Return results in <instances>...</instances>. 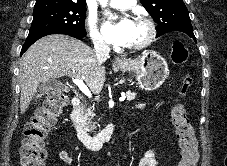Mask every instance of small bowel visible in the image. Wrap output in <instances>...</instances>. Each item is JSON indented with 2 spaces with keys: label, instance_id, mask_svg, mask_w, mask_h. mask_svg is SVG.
Returning <instances> with one entry per match:
<instances>
[{
  "label": "small bowel",
  "instance_id": "1",
  "mask_svg": "<svg viewBox=\"0 0 227 166\" xmlns=\"http://www.w3.org/2000/svg\"><path fill=\"white\" fill-rule=\"evenodd\" d=\"M138 109L142 108V105L137 106ZM58 157L63 162L69 164L74 160V155L66 150H60L58 152ZM158 162L155 158L154 151H148L145 155L141 158L137 166H157Z\"/></svg>",
  "mask_w": 227,
  "mask_h": 166
}]
</instances>
